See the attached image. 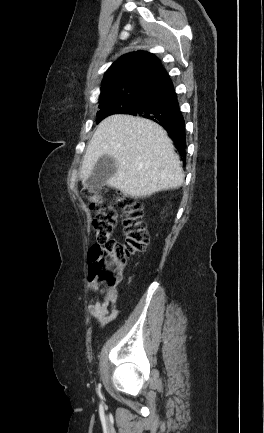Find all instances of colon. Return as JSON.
<instances>
[{
    "label": "colon",
    "instance_id": "1",
    "mask_svg": "<svg viewBox=\"0 0 264 433\" xmlns=\"http://www.w3.org/2000/svg\"><path fill=\"white\" fill-rule=\"evenodd\" d=\"M84 195L96 211L93 227L97 241L89 250V273L106 287L108 295H113L122 280L127 260L144 251L149 242L143 206L137 199L122 193L116 195L114 204H108L97 189H87ZM116 208L123 212V243L112 238L117 223Z\"/></svg>",
    "mask_w": 264,
    "mask_h": 433
}]
</instances>
